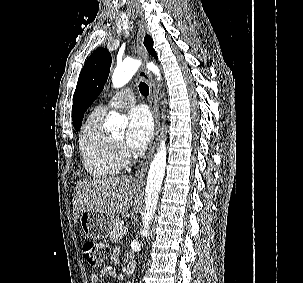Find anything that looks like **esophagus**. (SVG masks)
I'll return each instance as SVG.
<instances>
[{"label": "esophagus", "instance_id": "1", "mask_svg": "<svg viewBox=\"0 0 303 283\" xmlns=\"http://www.w3.org/2000/svg\"><path fill=\"white\" fill-rule=\"evenodd\" d=\"M145 29L144 25L138 21V33H137V54L139 58L143 61L148 60V54L146 51V48L143 44V39L145 36ZM139 77L148 83L149 89H150V96H149V104L150 108L153 113L154 117V134L149 146V149L142 159V161L139 163L136 173H135V182L138 185H142L145 182V176L148 169V166L150 164L151 158L155 152L158 136H159V129H160V115H159V105H158V95L157 90L155 87V84L153 82L152 76L149 73V71L146 70L144 66L140 68L139 71Z\"/></svg>", "mask_w": 303, "mask_h": 283}]
</instances>
